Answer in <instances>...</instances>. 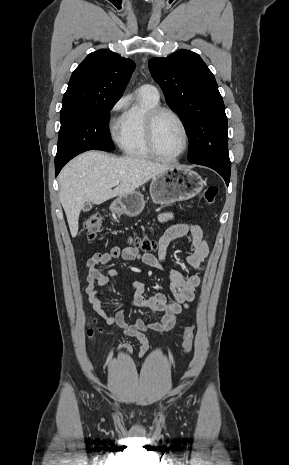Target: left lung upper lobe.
Here are the masks:
<instances>
[{
	"mask_svg": "<svg viewBox=\"0 0 289 465\" xmlns=\"http://www.w3.org/2000/svg\"><path fill=\"white\" fill-rule=\"evenodd\" d=\"M167 104L181 117L190 142L189 162L231 164L227 117L213 73L200 56L180 50L148 62Z\"/></svg>",
	"mask_w": 289,
	"mask_h": 465,
	"instance_id": "5c2ea615",
	"label": "left lung upper lobe"
}]
</instances>
